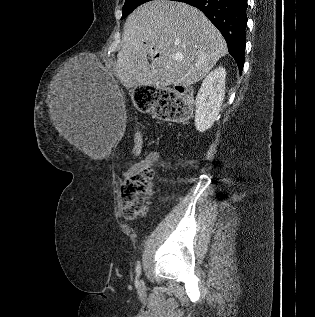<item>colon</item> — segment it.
<instances>
[{
  "instance_id": "colon-1",
  "label": "colon",
  "mask_w": 315,
  "mask_h": 317,
  "mask_svg": "<svg viewBox=\"0 0 315 317\" xmlns=\"http://www.w3.org/2000/svg\"><path fill=\"white\" fill-rule=\"evenodd\" d=\"M156 97L155 113L166 121H182L191 115L192 105L188 95L181 89H160ZM142 134L134 135L133 152L139 154L142 148ZM153 171L142 169L125 179L121 187L124 216L133 220L147 212L146 200L152 193Z\"/></svg>"
}]
</instances>
